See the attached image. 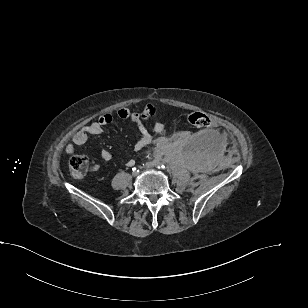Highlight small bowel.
Listing matches in <instances>:
<instances>
[{"mask_svg":"<svg viewBox=\"0 0 308 308\" xmlns=\"http://www.w3.org/2000/svg\"><path fill=\"white\" fill-rule=\"evenodd\" d=\"M157 113V109L154 105H147L141 112L134 111L130 108L124 107L117 111V116L123 120L131 121L137 131L140 134V139L135 144V149L137 151L142 150L153 143V135L149 131L146 123L150 121ZM113 121V116L111 114H104L98 118L97 121L88 124L87 126L83 127L81 130L76 132L72 138V143H70L66 147V152L69 155H73L75 153V146H82L84 145L89 135L99 134L103 131V128ZM152 129L155 132L161 133L165 130V126L161 122H154L152 124ZM167 143V138L162 136L158 139L157 145L163 146ZM101 158L104 161H109L112 158L111 153L108 150L101 151ZM135 161L133 159H128L125 161L126 166H133Z\"/></svg>","mask_w":308,"mask_h":308,"instance_id":"small-bowel-1","label":"small bowel"}]
</instances>
